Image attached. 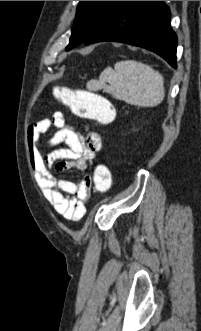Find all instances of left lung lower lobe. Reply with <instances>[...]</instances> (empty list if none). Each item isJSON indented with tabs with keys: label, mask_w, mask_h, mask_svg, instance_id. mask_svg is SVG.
Here are the masks:
<instances>
[{
	"label": "left lung lower lobe",
	"mask_w": 201,
	"mask_h": 331,
	"mask_svg": "<svg viewBox=\"0 0 201 331\" xmlns=\"http://www.w3.org/2000/svg\"><path fill=\"white\" fill-rule=\"evenodd\" d=\"M103 41L148 49L177 68V36L170 27V10L163 1H120L82 43Z\"/></svg>",
	"instance_id": "0a47b994"
}]
</instances>
